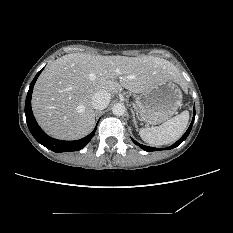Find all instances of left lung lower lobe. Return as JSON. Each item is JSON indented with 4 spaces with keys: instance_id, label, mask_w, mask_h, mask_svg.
<instances>
[{
    "instance_id": "left-lung-lower-lobe-1",
    "label": "left lung lower lobe",
    "mask_w": 233,
    "mask_h": 233,
    "mask_svg": "<svg viewBox=\"0 0 233 233\" xmlns=\"http://www.w3.org/2000/svg\"><path fill=\"white\" fill-rule=\"evenodd\" d=\"M194 110V114H193V119H192V122L189 126V128L187 129V131L185 132V134L177 141L175 142L173 145H171L170 147L168 148H164L165 149H173L175 147H177L178 145H180L186 138L187 136L189 135L191 129H192V125H193V122H194V119H195V106L193 108ZM132 141L138 145L141 149L145 150V151H148V152H151V151H156V150H163V148H153V147H149V146H145V145H142V144H139L138 142H136L134 139H132Z\"/></svg>"
}]
</instances>
